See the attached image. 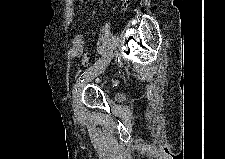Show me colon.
<instances>
[{
	"label": "colon",
	"mask_w": 225,
	"mask_h": 159,
	"mask_svg": "<svg viewBox=\"0 0 225 159\" xmlns=\"http://www.w3.org/2000/svg\"><path fill=\"white\" fill-rule=\"evenodd\" d=\"M82 63L85 67H90L92 64V59H91L90 55L85 54L83 56Z\"/></svg>",
	"instance_id": "5ec220e1"
}]
</instances>
